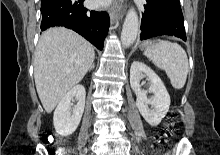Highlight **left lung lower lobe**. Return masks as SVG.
<instances>
[{"label": "left lung lower lobe", "instance_id": "0a47b994", "mask_svg": "<svg viewBox=\"0 0 220 155\" xmlns=\"http://www.w3.org/2000/svg\"><path fill=\"white\" fill-rule=\"evenodd\" d=\"M141 20L140 39L171 35L186 41L184 19L179 0H146Z\"/></svg>", "mask_w": 220, "mask_h": 155}]
</instances>
